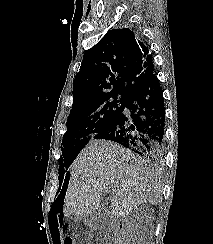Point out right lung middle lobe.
Masks as SVG:
<instances>
[{"instance_id":"right-lung-middle-lobe-1","label":"right lung middle lobe","mask_w":213,"mask_h":244,"mask_svg":"<svg viewBox=\"0 0 213 244\" xmlns=\"http://www.w3.org/2000/svg\"><path fill=\"white\" fill-rule=\"evenodd\" d=\"M129 98L117 95L103 96L85 105L72 108L67 119V131L63 136L59 159L60 180L80 150L94 137L116 121Z\"/></svg>"}]
</instances>
